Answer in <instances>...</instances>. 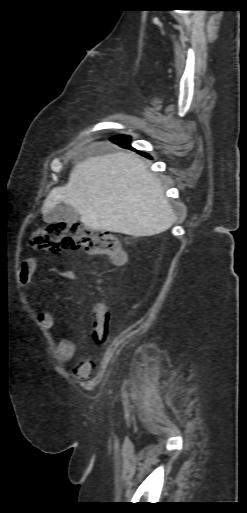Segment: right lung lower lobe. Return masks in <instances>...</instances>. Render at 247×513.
Here are the masks:
<instances>
[{"instance_id": "right-lung-lower-lobe-1", "label": "right lung lower lobe", "mask_w": 247, "mask_h": 513, "mask_svg": "<svg viewBox=\"0 0 247 513\" xmlns=\"http://www.w3.org/2000/svg\"><path fill=\"white\" fill-rule=\"evenodd\" d=\"M112 142L114 143H117L119 144L120 146L124 147V148H131L130 147V137L129 136H124V135H120V136H116V137H113L111 139ZM141 155L143 156H146L148 158H150L147 154L145 153H140Z\"/></svg>"}]
</instances>
